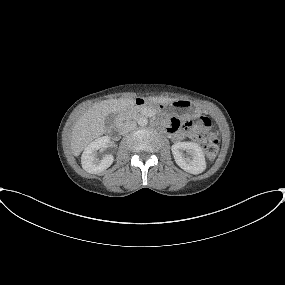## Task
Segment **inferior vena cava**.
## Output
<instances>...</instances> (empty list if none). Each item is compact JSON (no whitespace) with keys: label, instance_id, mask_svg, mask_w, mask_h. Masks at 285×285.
I'll use <instances>...</instances> for the list:
<instances>
[{"label":"inferior vena cava","instance_id":"602c4592","mask_svg":"<svg viewBox=\"0 0 285 285\" xmlns=\"http://www.w3.org/2000/svg\"><path fill=\"white\" fill-rule=\"evenodd\" d=\"M135 128H136L135 122H132V121L126 122L121 127V133L127 134L128 132L134 130Z\"/></svg>","mask_w":285,"mask_h":285}]
</instances>
